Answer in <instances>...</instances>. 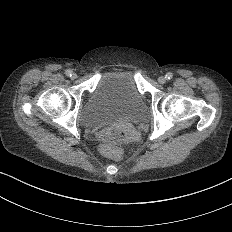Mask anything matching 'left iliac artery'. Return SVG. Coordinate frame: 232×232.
<instances>
[{
  "mask_svg": "<svg viewBox=\"0 0 232 232\" xmlns=\"http://www.w3.org/2000/svg\"><path fill=\"white\" fill-rule=\"evenodd\" d=\"M165 78L167 80H171L173 78V74L171 72L166 73Z\"/></svg>",
  "mask_w": 232,
  "mask_h": 232,
  "instance_id": "obj_1",
  "label": "left iliac artery"
}]
</instances>
